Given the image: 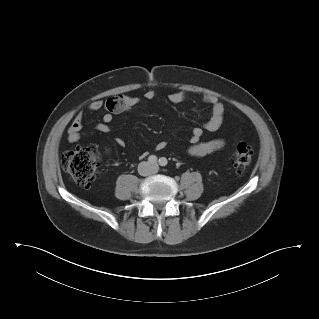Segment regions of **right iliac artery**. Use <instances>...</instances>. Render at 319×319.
Returning a JSON list of instances; mask_svg holds the SVG:
<instances>
[{"label":"right iliac artery","mask_w":319,"mask_h":319,"mask_svg":"<svg viewBox=\"0 0 319 319\" xmlns=\"http://www.w3.org/2000/svg\"><path fill=\"white\" fill-rule=\"evenodd\" d=\"M148 161H149L151 164H155V163L157 162V157L154 156V155H151V156H149Z\"/></svg>","instance_id":"82829eb1"}]
</instances>
